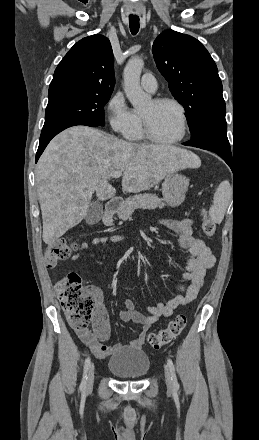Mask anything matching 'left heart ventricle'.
Returning a JSON list of instances; mask_svg holds the SVG:
<instances>
[{
    "label": "left heart ventricle",
    "mask_w": 259,
    "mask_h": 440,
    "mask_svg": "<svg viewBox=\"0 0 259 440\" xmlns=\"http://www.w3.org/2000/svg\"><path fill=\"white\" fill-rule=\"evenodd\" d=\"M142 114L148 118L153 132L159 138L171 140L180 135L182 125L176 106L172 104L156 105L152 101L142 111Z\"/></svg>",
    "instance_id": "obj_1"
}]
</instances>
